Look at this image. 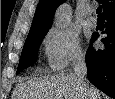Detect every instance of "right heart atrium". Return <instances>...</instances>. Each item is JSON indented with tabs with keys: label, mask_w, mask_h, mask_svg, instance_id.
Here are the masks:
<instances>
[{
	"label": "right heart atrium",
	"mask_w": 115,
	"mask_h": 99,
	"mask_svg": "<svg viewBox=\"0 0 115 99\" xmlns=\"http://www.w3.org/2000/svg\"><path fill=\"white\" fill-rule=\"evenodd\" d=\"M42 42L49 67L54 71L62 70L84 56L79 36L70 28L53 27Z\"/></svg>",
	"instance_id": "right-heart-atrium-1"
}]
</instances>
